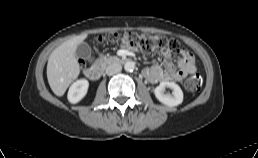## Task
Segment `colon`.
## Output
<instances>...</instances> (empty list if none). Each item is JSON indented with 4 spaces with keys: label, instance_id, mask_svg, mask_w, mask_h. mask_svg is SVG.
Segmentation results:
<instances>
[{
    "label": "colon",
    "instance_id": "1",
    "mask_svg": "<svg viewBox=\"0 0 258 158\" xmlns=\"http://www.w3.org/2000/svg\"><path fill=\"white\" fill-rule=\"evenodd\" d=\"M111 43H119L126 48L139 49L144 52L181 53L183 48L174 39L162 35L125 32L114 33L104 38ZM184 87L188 92L196 93L202 87V79L199 75H193L186 79Z\"/></svg>",
    "mask_w": 258,
    "mask_h": 158
}]
</instances>
